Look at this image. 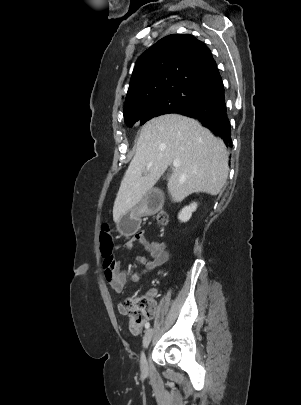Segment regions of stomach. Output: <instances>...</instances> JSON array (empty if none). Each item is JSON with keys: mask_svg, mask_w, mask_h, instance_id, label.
Wrapping results in <instances>:
<instances>
[{"mask_svg": "<svg viewBox=\"0 0 301 405\" xmlns=\"http://www.w3.org/2000/svg\"><path fill=\"white\" fill-rule=\"evenodd\" d=\"M140 209H131L126 212L117 223L118 230L122 234L133 233L135 232L140 225ZM129 226H131L129 228Z\"/></svg>", "mask_w": 301, "mask_h": 405, "instance_id": "obj_1", "label": "stomach"}]
</instances>
